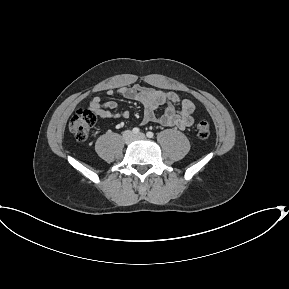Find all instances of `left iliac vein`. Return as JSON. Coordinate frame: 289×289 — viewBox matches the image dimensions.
Masks as SVG:
<instances>
[{"label":"left iliac vein","instance_id":"1","mask_svg":"<svg viewBox=\"0 0 289 289\" xmlns=\"http://www.w3.org/2000/svg\"><path fill=\"white\" fill-rule=\"evenodd\" d=\"M145 134L144 133H139L138 135L135 136V139H144Z\"/></svg>","mask_w":289,"mask_h":289}]
</instances>
